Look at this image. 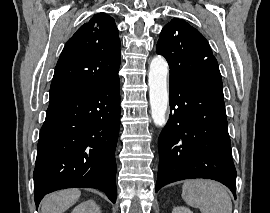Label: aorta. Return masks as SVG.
<instances>
[{"instance_id": "1", "label": "aorta", "mask_w": 270, "mask_h": 213, "mask_svg": "<svg viewBox=\"0 0 270 213\" xmlns=\"http://www.w3.org/2000/svg\"><path fill=\"white\" fill-rule=\"evenodd\" d=\"M168 64L161 56L152 59L149 67L148 85L151 106V116L156 126L166 124L168 105L167 91Z\"/></svg>"}]
</instances>
